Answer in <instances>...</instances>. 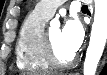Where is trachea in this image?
<instances>
[{
	"label": "trachea",
	"mask_w": 107,
	"mask_h": 75,
	"mask_svg": "<svg viewBox=\"0 0 107 75\" xmlns=\"http://www.w3.org/2000/svg\"><path fill=\"white\" fill-rule=\"evenodd\" d=\"M82 9H88L87 5H83Z\"/></svg>",
	"instance_id": "1"
}]
</instances>
